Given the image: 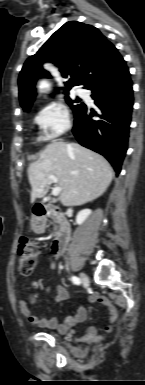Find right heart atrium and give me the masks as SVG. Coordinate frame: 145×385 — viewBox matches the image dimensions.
Segmentation results:
<instances>
[{
  "label": "right heart atrium",
  "mask_w": 145,
  "mask_h": 385,
  "mask_svg": "<svg viewBox=\"0 0 145 385\" xmlns=\"http://www.w3.org/2000/svg\"><path fill=\"white\" fill-rule=\"evenodd\" d=\"M34 121L41 139L53 140L64 134L71 125L67 106L61 102L49 103L36 114Z\"/></svg>",
  "instance_id": "1"
}]
</instances>
